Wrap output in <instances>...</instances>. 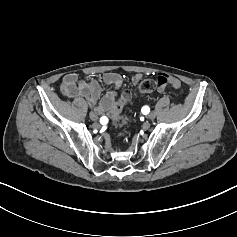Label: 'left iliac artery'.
Returning <instances> with one entry per match:
<instances>
[{
	"mask_svg": "<svg viewBox=\"0 0 237 237\" xmlns=\"http://www.w3.org/2000/svg\"><path fill=\"white\" fill-rule=\"evenodd\" d=\"M141 111H142V113L143 114H148L149 113V111H150V108L148 107V106H144L142 109H141Z\"/></svg>",
	"mask_w": 237,
	"mask_h": 237,
	"instance_id": "44dca946",
	"label": "left iliac artery"
}]
</instances>
